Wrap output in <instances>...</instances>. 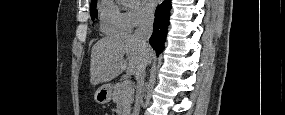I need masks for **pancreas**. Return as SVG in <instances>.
<instances>
[{
  "mask_svg": "<svg viewBox=\"0 0 285 115\" xmlns=\"http://www.w3.org/2000/svg\"><path fill=\"white\" fill-rule=\"evenodd\" d=\"M134 89L131 85L125 86L123 83H117L113 86L112 100L119 104L123 112L129 111L133 101Z\"/></svg>",
  "mask_w": 285,
  "mask_h": 115,
  "instance_id": "obj_1",
  "label": "pancreas"
}]
</instances>
